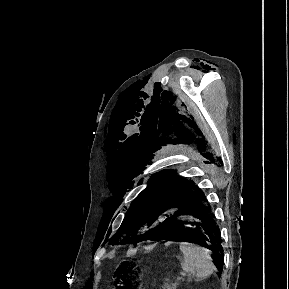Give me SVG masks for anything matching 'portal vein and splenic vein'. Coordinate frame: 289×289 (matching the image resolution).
Returning <instances> with one entry per match:
<instances>
[{
    "label": "portal vein and splenic vein",
    "instance_id": "obj_1",
    "mask_svg": "<svg viewBox=\"0 0 289 289\" xmlns=\"http://www.w3.org/2000/svg\"><path fill=\"white\" fill-rule=\"evenodd\" d=\"M181 280H183V278L180 276L176 278V282H180Z\"/></svg>",
    "mask_w": 289,
    "mask_h": 289
}]
</instances>
